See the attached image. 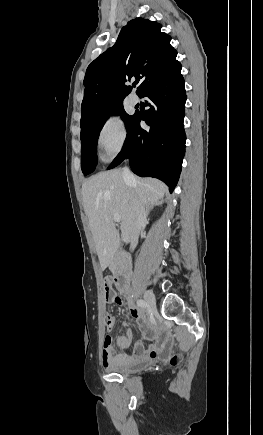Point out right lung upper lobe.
Here are the masks:
<instances>
[{
	"label": "right lung upper lobe",
	"mask_w": 263,
	"mask_h": 435,
	"mask_svg": "<svg viewBox=\"0 0 263 435\" xmlns=\"http://www.w3.org/2000/svg\"><path fill=\"white\" fill-rule=\"evenodd\" d=\"M161 24L136 18L122 28L114 46L87 68L84 99L81 105V128L96 121L105 111L122 103L130 92L126 81H140V95L153 81L173 68L177 51L170 45L171 36Z\"/></svg>",
	"instance_id": "right-lung-upper-lobe-1"
}]
</instances>
